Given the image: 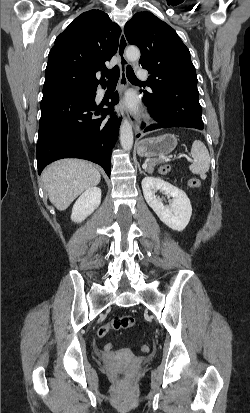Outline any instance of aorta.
Listing matches in <instances>:
<instances>
[{
  "instance_id": "aorta-1",
  "label": "aorta",
  "mask_w": 250,
  "mask_h": 413,
  "mask_svg": "<svg viewBox=\"0 0 250 413\" xmlns=\"http://www.w3.org/2000/svg\"><path fill=\"white\" fill-rule=\"evenodd\" d=\"M140 57V51L136 47H129L126 50V58L129 61H136ZM120 143L124 150H130L133 146L132 126L127 118H124L120 127Z\"/></svg>"
}]
</instances>
